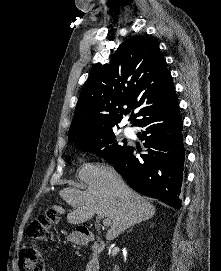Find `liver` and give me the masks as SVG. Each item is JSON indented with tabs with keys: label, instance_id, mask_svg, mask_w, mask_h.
Instances as JSON below:
<instances>
[{
	"label": "liver",
	"instance_id": "obj_1",
	"mask_svg": "<svg viewBox=\"0 0 221 271\" xmlns=\"http://www.w3.org/2000/svg\"><path fill=\"white\" fill-rule=\"evenodd\" d=\"M78 177L87 183L85 191L71 187L60 191V195L73 207V211L67 213L69 223L79 225L91 219L95 213L108 215L112 225L106 233V239H115L131 225L155 215V205L133 191L111 165L83 163ZM53 207L60 213L65 211L59 205Z\"/></svg>",
	"mask_w": 221,
	"mask_h": 271
}]
</instances>
